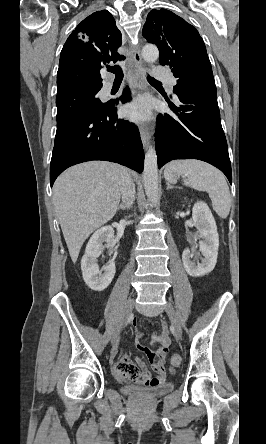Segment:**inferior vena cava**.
Segmentation results:
<instances>
[{"label":"inferior vena cava","mask_w":266,"mask_h":444,"mask_svg":"<svg viewBox=\"0 0 266 444\" xmlns=\"http://www.w3.org/2000/svg\"><path fill=\"white\" fill-rule=\"evenodd\" d=\"M122 205L130 209L135 200V184L129 174H126L121 187Z\"/></svg>","instance_id":"602c4592"}]
</instances>
